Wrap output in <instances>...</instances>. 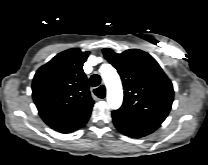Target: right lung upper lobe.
<instances>
[{
  "instance_id": "cb5924a9",
  "label": "right lung upper lobe",
  "mask_w": 208,
  "mask_h": 165,
  "mask_svg": "<svg viewBox=\"0 0 208 165\" xmlns=\"http://www.w3.org/2000/svg\"><path fill=\"white\" fill-rule=\"evenodd\" d=\"M89 52L77 48L56 55L40 67L32 84V96L43 121L60 133H71L88 121L91 98L83 64Z\"/></svg>"
}]
</instances>
